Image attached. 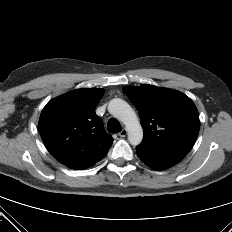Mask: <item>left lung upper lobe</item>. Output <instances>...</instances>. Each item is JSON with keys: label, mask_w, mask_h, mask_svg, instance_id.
<instances>
[{"label": "left lung upper lobe", "mask_w": 232, "mask_h": 232, "mask_svg": "<svg viewBox=\"0 0 232 232\" xmlns=\"http://www.w3.org/2000/svg\"><path fill=\"white\" fill-rule=\"evenodd\" d=\"M144 129L137 151L149 154L188 153L199 133L198 111L185 94L152 85L125 87Z\"/></svg>", "instance_id": "obj_1"}]
</instances>
